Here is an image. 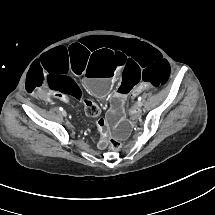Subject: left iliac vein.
Instances as JSON below:
<instances>
[{"label":"left iliac vein","instance_id":"4c4485c4","mask_svg":"<svg viewBox=\"0 0 215 215\" xmlns=\"http://www.w3.org/2000/svg\"><path fill=\"white\" fill-rule=\"evenodd\" d=\"M135 106H136V108H140L141 107V105L139 103H137Z\"/></svg>","mask_w":215,"mask_h":215}]
</instances>
